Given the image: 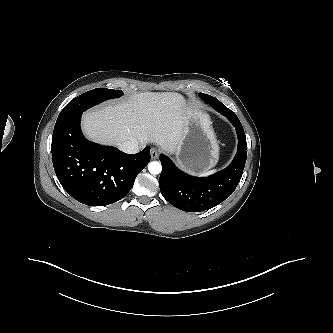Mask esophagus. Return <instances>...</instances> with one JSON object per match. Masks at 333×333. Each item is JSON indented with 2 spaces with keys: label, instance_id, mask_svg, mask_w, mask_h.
I'll return each instance as SVG.
<instances>
[{
  "label": "esophagus",
  "instance_id": "1",
  "mask_svg": "<svg viewBox=\"0 0 333 333\" xmlns=\"http://www.w3.org/2000/svg\"><path fill=\"white\" fill-rule=\"evenodd\" d=\"M159 151L156 148H151L150 155L152 159H157L159 157Z\"/></svg>",
  "mask_w": 333,
  "mask_h": 333
}]
</instances>
